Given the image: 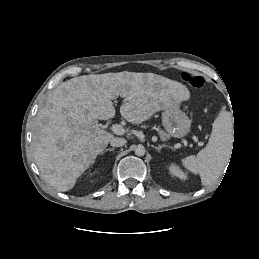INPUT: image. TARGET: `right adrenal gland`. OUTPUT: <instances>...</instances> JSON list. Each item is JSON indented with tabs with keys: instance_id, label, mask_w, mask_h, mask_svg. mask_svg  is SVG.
I'll return each mask as SVG.
<instances>
[{
	"instance_id": "right-adrenal-gland-1",
	"label": "right adrenal gland",
	"mask_w": 259,
	"mask_h": 259,
	"mask_svg": "<svg viewBox=\"0 0 259 259\" xmlns=\"http://www.w3.org/2000/svg\"><path fill=\"white\" fill-rule=\"evenodd\" d=\"M115 150V148H107V149H105V152H107V151H114Z\"/></svg>"
}]
</instances>
